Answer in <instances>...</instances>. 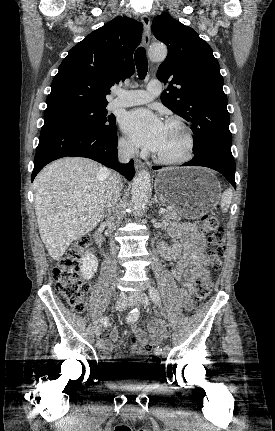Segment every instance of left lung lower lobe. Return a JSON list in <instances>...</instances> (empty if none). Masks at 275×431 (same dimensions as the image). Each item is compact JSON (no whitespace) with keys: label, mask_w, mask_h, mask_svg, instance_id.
Segmentation results:
<instances>
[{"label":"left lung lower lobe","mask_w":275,"mask_h":431,"mask_svg":"<svg viewBox=\"0 0 275 431\" xmlns=\"http://www.w3.org/2000/svg\"><path fill=\"white\" fill-rule=\"evenodd\" d=\"M182 166H203L220 172L236 188L235 161L230 146H214L195 153L194 158ZM160 167L154 166L153 169Z\"/></svg>","instance_id":"obj_1"}]
</instances>
